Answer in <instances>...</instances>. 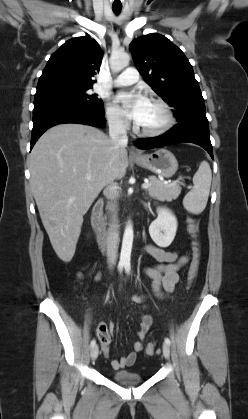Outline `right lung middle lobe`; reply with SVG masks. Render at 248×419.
<instances>
[{
    "instance_id": "obj_1",
    "label": "right lung middle lobe",
    "mask_w": 248,
    "mask_h": 419,
    "mask_svg": "<svg viewBox=\"0 0 248 419\" xmlns=\"http://www.w3.org/2000/svg\"><path fill=\"white\" fill-rule=\"evenodd\" d=\"M88 88H58L36 92L34 105L50 102H73L83 104L97 112H104L103 101L89 94Z\"/></svg>"
}]
</instances>
